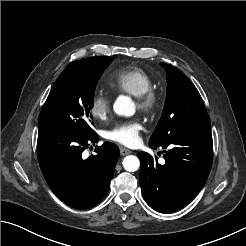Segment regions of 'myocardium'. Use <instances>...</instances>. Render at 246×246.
Masks as SVG:
<instances>
[{
    "instance_id": "1",
    "label": "myocardium",
    "mask_w": 246,
    "mask_h": 246,
    "mask_svg": "<svg viewBox=\"0 0 246 246\" xmlns=\"http://www.w3.org/2000/svg\"><path fill=\"white\" fill-rule=\"evenodd\" d=\"M135 98L137 108L146 114L153 113L159 106L160 98L158 93L153 88Z\"/></svg>"
}]
</instances>
